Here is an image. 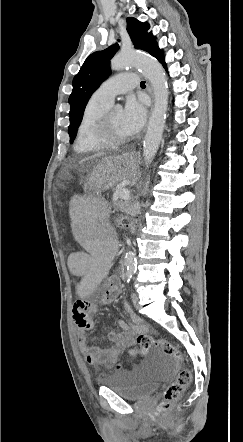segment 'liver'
Returning <instances> with one entry per match:
<instances>
[{"mask_svg": "<svg viewBox=\"0 0 243 442\" xmlns=\"http://www.w3.org/2000/svg\"><path fill=\"white\" fill-rule=\"evenodd\" d=\"M102 155H103L102 153L96 154V155H94V156H92V157H89V158L83 159L82 162H84V161H86V160H89V159H94V158H96V157H101Z\"/></svg>", "mask_w": 243, "mask_h": 442, "instance_id": "obj_1", "label": "liver"}]
</instances>
